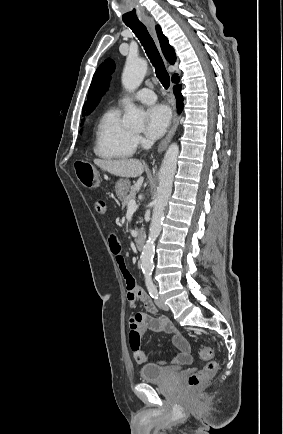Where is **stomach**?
I'll use <instances>...</instances> for the list:
<instances>
[{
  "instance_id": "obj_1",
  "label": "stomach",
  "mask_w": 283,
  "mask_h": 434,
  "mask_svg": "<svg viewBox=\"0 0 283 434\" xmlns=\"http://www.w3.org/2000/svg\"><path fill=\"white\" fill-rule=\"evenodd\" d=\"M130 190V181L128 179H120L115 184L116 195L119 200H123Z\"/></svg>"
}]
</instances>
